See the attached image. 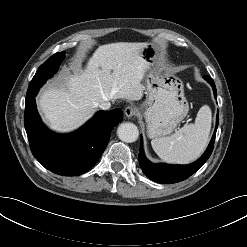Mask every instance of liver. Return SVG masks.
Instances as JSON below:
<instances>
[{
  "label": "liver",
  "mask_w": 247,
  "mask_h": 247,
  "mask_svg": "<svg viewBox=\"0 0 247 247\" xmlns=\"http://www.w3.org/2000/svg\"><path fill=\"white\" fill-rule=\"evenodd\" d=\"M147 43L118 42L99 46L88 60L57 87L45 89L39 107L51 129L70 132L88 121L102 102L140 100L141 83L150 65L142 52Z\"/></svg>",
  "instance_id": "liver-1"
}]
</instances>
